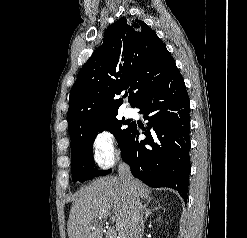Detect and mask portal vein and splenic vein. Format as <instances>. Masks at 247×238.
<instances>
[{
  "label": "portal vein and splenic vein",
  "mask_w": 247,
  "mask_h": 238,
  "mask_svg": "<svg viewBox=\"0 0 247 238\" xmlns=\"http://www.w3.org/2000/svg\"><path fill=\"white\" fill-rule=\"evenodd\" d=\"M108 238H115L116 237V231L114 229H109L107 231Z\"/></svg>",
  "instance_id": "1"
}]
</instances>
